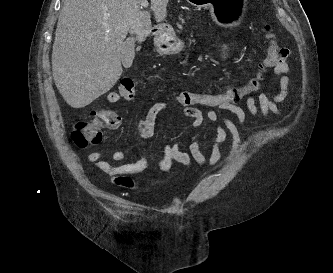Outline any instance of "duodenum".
I'll return each instance as SVG.
<instances>
[{"instance_id":"1","label":"duodenum","mask_w":333,"mask_h":273,"mask_svg":"<svg viewBox=\"0 0 333 273\" xmlns=\"http://www.w3.org/2000/svg\"><path fill=\"white\" fill-rule=\"evenodd\" d=\"M158 30H160V27L157 26V27H155L152 31L155 32V31H158Z\"/></svg>"}]
</instances>
